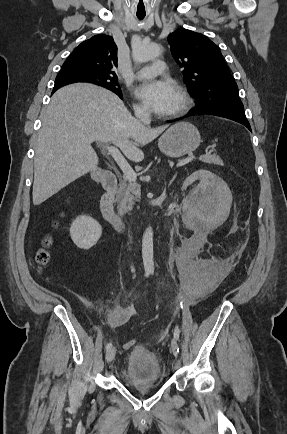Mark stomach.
<instances>
[{"instance_id": "0dacf381", "label": "stomach", "mask_w": 287, "mask_h": 434, "mask_svg": "<svg viewBox=\"0 0 287 434\" xmlns=\"http://www.w3.org/2000/svg\"><path fill=\"white\" fill-rule=\"evenodd\" d=\"M200 143L198 129L188 122H179L162 134L158 147L166 156L180 157L196 150Z\"/></svg>"}]
</instances>
